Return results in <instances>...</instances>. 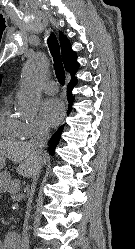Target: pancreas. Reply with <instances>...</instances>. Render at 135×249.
Segmentation results:
<instances>
[{
  "label": "pancreas",
  "mask_w": 135,
  "mask_h": 249,
  "mask_svg": "<svg viewBox=\"0 0 135 249\" xmlns=\"http://www.w3.org/2000/svg\"><path fill=\"white\" fill-rule=\"evenodd\" d=\"M8 192L12 195V199L18 196V192L20 191V181L13 180L10 182L8 188Z\"/></svg>",
  "instance_id": "pancreas-1"
}]
</instances>
